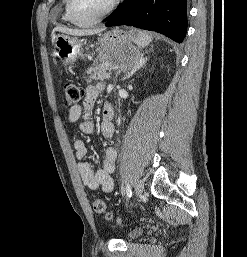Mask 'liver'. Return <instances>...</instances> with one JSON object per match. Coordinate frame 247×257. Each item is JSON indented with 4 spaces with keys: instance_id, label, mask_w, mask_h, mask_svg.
Returning <instances> with one entry per match:
<instances>
[{
    "instance_id": "obj_1",
    "label": "liver",
    "mask_w": 247,
    "mask_h": 257,
    "mask_svg": "<svg viewBox=\"0 0 247 257\" xmlns=\"http://www.w3.org/2000/svg\"><path fill=\"white\" fill-rule=\"evenodd\" d=\"M103 30H104V28H100V29H70L67 27L57 26L52 31V38L54 37V33L56 31H59V32H62V33L68 34V35H73V36H87V35H93V34L99 33Z\"/></svg>"
}]
</instances>
